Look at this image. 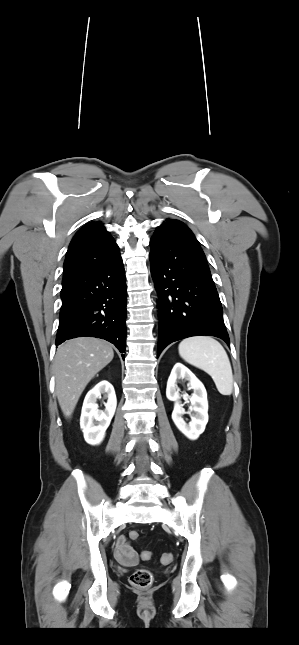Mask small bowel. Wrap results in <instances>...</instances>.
Listing matches in <instances>:
<instances>
[{"label": "small bowel", "instance_id": "c3829d8e", "mask_svg": "<svg viewBox=\"0 0 299 645\" xmlns=\"http://www.w3.org/2000/svg\"><path fill=\"white\" fill-rule=\"evenodd\" d=\"M114 555L119 563L124 566H134L138 562V555L130 546L126 536H119L116 540Z\"/></svg>", "mask_w": 299, "mask_h": 645}]
</instances>
